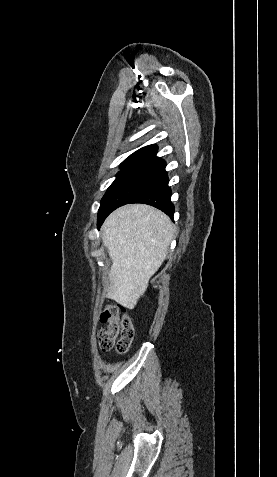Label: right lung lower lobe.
I'll return each mask as SVG.
<instances>
[{"mask_svg": "<svg viewBox=\"0 0 277 477\" xmlns=\"http://www.w3.org/2000/svg\"><path fill=\"white\" fill-rule=\"evenodd\" d=\"M168 182L167 172L164 167L159 175L129 203L152 205L162 210L170 218H173L174 205L171 202V189L168 186Z\"/></svg>", "mask_w": 277, "mask_h": 477, "instance_id": "obj_1", "label": "right lung lower lobe"}]
</instances>
